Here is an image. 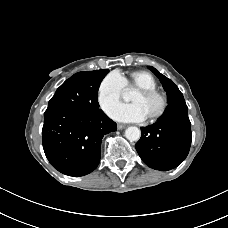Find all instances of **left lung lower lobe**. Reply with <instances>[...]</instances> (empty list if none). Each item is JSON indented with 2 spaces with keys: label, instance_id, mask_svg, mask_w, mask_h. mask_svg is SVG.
Segmentation results:
<instances>
[{
  "label": "left lung lower lobe",
  "instance_id": "0a47b994",
  "mask_svg": "<svg viewBox=\"0 0 228 228\" xmlns=\"http://www.w3.org/2000/svg\"><path fill=\"white\" fill-rule=\"evenodd\" d=\"M184 98L170 102L153 125L141 128L136 150L146 165L156 170H171L188 155L191 123Z\"/></svg>",
  "mask_w": 228,
  "mask_h": 228
}]
</instances>
